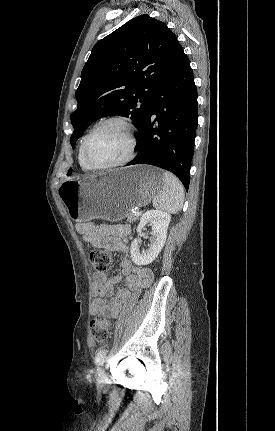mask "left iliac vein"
Here are the masks:
<instances>
[{
    "label": "left iliac vein",
    "instance_id": "1",
    "mask_svg": "<svg viewBox=\"0 0 275 431\" xmlns=\"http://www.w3.org/2000/svg\"><path fill=\"white\" fill-rule=\"evenodd\" d=\"M97 379L99 381V383L103 384L105 382V373L104 370H99L98 374H97Z\"/></svg>",
    "mask_w": 275,
    "mask_h": 431
}]
</instances>
